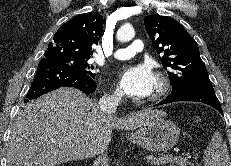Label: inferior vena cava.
Instances as JSON below:
<instances>
[{
  "instance_id": "602c4592",
  "label": "inferior vena cava",
  "mask_w": 231,
  "mask_h": 166,
  "mask_svg": "<svg viewBox=\"0 0 231 166\" xmlns=\"http://www.w3.org/2000/svg\"><path fill=\"white\" fill-rule=\"evenodd\" d=\"M121 100V96L119 93H114L113 95H104L99 100V108L100 111L103 113H107L112 115L115 113L118 103ZM93 166H109L108 165V158L106 153H102L93 163Z\"/></svg>"
}]
</instances>
